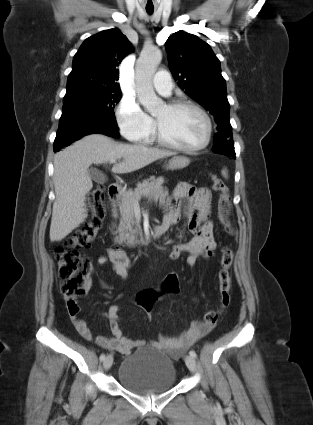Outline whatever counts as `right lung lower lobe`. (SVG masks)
Segmentation results:
<instances>
[{"mask_svg": "<svg viewBox=\"0 0 313 425\" xmlns=\"http://www.w3.org/2000/svg\"><path fill=\"white\" fill-rule=\"evenodd\" d=\"M96 133L118 137L115 116L77 107L63 108L54 142V152L69 146L83 136Z\"/></svg>", "mask_w": 313, "mask_h": 425, "instance_id": "98d812e1", "label": "right lung lower lobe"}]
</instances>
